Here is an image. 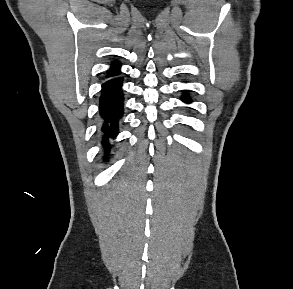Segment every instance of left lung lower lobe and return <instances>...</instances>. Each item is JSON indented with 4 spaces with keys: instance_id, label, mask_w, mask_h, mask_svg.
<instances>
[{
    "instance_id": "0a47b994",
    "label": "left lung lower lobe",
    "mask_w": 293,
    "mask_h": 289,
    "mask_svg": "<svg viewBox=\"0 0 293 289\" xmlns=\"http://www.w3.org/2000/svg\"><path fill=\"white\" fill-rule=\"evenodd\" d=\"M182 100L184 102H191V99L189 98V96L187 94H184L183 97H182Z\"/></svg>"
}]
</instances>
